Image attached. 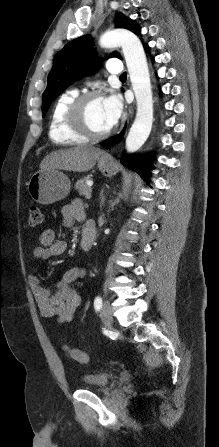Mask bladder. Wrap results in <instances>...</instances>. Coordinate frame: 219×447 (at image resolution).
<instances>
[{"label":"bladder","instance_id":"1","mask_svg":"<svg viewBox=\"0 0 219 447\" xmlns=\"http://www.w3.org/2000/svg\"><path fill=\"white\" fill-rule=\"evenodd\" d=\"M113 375L108 372H98L85 374L82 380L88 383L86 388L89 389H102L110 384Z\"/></svg>","mask_w":219,"mask_h":447}]
</instances>
